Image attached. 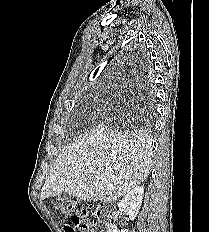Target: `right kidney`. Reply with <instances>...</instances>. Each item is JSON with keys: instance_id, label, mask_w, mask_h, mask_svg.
Wrapping results in <instances>:
<instances>
[{"instance_id": "right-kidney-1", "label": "right kidney", "mask_w": 209, "mask_h": 232, "mask_svg": "<svg viewBox=\"0 0 209 232\" xmlns=\"http://www.w3.org/2000/svg\"><path fill=\"white\" fill-rule=\"evenodd\" d=\"M144 195V187L136 186L132 188L124 198L119 202L118 207L120 211L126 212L129 215L130 220H134L137 217L140 206L142 204V199ZM108 232H120L117 226L111 224L108 228ZM121 232H128V230H123Z\"/></svg>"}]
</instances>
